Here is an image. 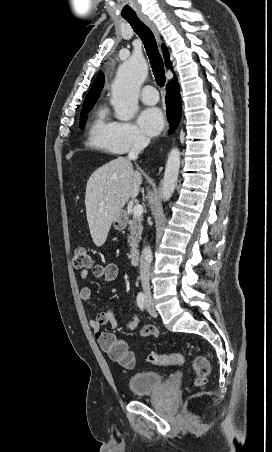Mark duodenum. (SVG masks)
I'll use <instances>...</instances> for the list:
<instances>
[{"label": "duodenum", "instance_id": "410a0bca", "mask_svg": "<svg viewBox=\"0 0 272 452\" xmlns=\"http://www.w3.org/2000/svg\"><path fill=\"white\" fill-rule=\"evenodd\" d=\"M139 254H140V251L138 248L131 249V251L129 253V259L132 264H134L138 261Z\"/></svg>", "mask_w": 272, "mask_h": 452}]
</instances>
